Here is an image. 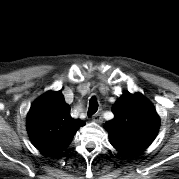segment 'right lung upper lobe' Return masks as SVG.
<instances>
[{"mask_svg": "<svg viewBox=\"0 0 179 179\" xmlns=\"http://www.w3.org/2000/svg\"><path fill=\"white\" fill-rule=\"evenodd\" d=\"M85 123L70 116V106L61 91H48L34 101L27 115V131L40 151L55 155L71 143Z\"/></svg>", "mask_w": 179, "mask_h": 179, "instance_id": "obj_1", "label": "right lung upper lobe"}]
</instances>
